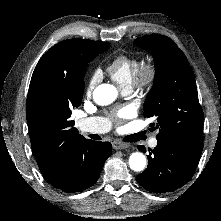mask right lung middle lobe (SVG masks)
I'll use <instances>...</instances> for the list:
<instances>
[{
    "mask_svg": "<svg viewBox=\"0 0 221 221\" xmlns=\"http://www.w3.org/2000/svg\"><path fill=\"white\" fill-rule=\"evenodd\" d=\"M109 46L110 44L106 42L90 41L86 45V47L83 50H81V52L77 55V61L80 65L81 71H80L79 77L74 82V87L79 95L76 104L73 106L74 108L78 107L82 101V96L84 92V79L83 78L86 73L88 63L91 62L101 52L106 51L109 48ZM65 95L68 99L67 94Z\"/></svg>",
    "mask_w": 221,
    "mask_h": 221,
    "instance_id": "obj_1",
    "label": "right lung middle lobe"
}]
</instances>
